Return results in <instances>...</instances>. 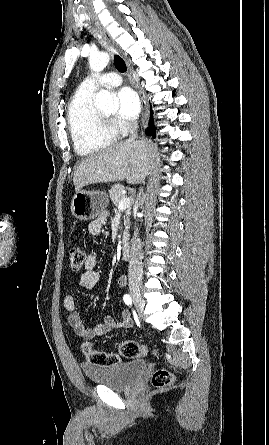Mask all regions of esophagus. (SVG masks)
Listing matches in <instances>:
<instances>
[{"instance_id": "34e87169", "label": "esophagus", "mask_w": 269, "mask_h": 445, "mask_svg": "<svg viewBox=\"0 0 269 445\" xmlns=\"http://www.w3.org/2000/svg\"><path fill=\"white\" fill-rule=\"evenodd\" d=\"M91 20H92L93 25L97 29V31L100 33V35L105 40V42L108 45H110L111 47H113L114 49H116L122 55V57L124 58L126 66H127L128 76H129L132 84L137 89V91L139 93V96L141 98V114H142L141 121H142V126L146 127L147 124H148V104H147L145 92L142 90V88L139 86V84L132 78V69H131V66H130V63H129L128 59L122 53V51L120 50L118 45L115 43L113 38L110 36V34L107 32L105 27L101 24V22L99 21V19L97 17L92 16Z\"/></svg>"}]
</instances>
